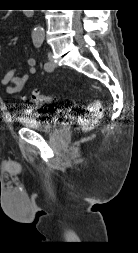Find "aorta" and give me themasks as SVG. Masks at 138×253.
Segmentation results:
<instances>
[{"mask_svg":"<svg viewBox=\"0 0 138 253\" xmlns=\"http://www.w3.org/2000/svg\"><path fill=\"white\" fill-rule=\"evenodd\" d=\"M33 39H43L44 38V30L41 26H36L32 32Z\"/></svg>","mask_w":138,"mask_h":253,"instance_id":"aorta-1","label":"aorta"}]
</instances>
